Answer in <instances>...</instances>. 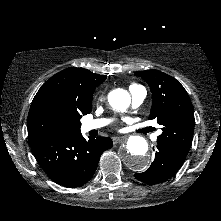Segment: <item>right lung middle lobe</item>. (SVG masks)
<instances>
[{"label":"right lung middle lobe","mask_w":221,"mask_h":221,"mask_svg":"<svg viewBox=\"0 0 221 221\" xmlns=\"http://www.w3.org/2000/svg\"><path fill=\"white\" fill-rule=\"evenodd\" d=\"M79 119L78 114L70 109L49 106L44 111V118L32 128V138L38 141L72 133L73 123L80 127Z\"/></svg>","instance_id":"1"}]
</instances>
